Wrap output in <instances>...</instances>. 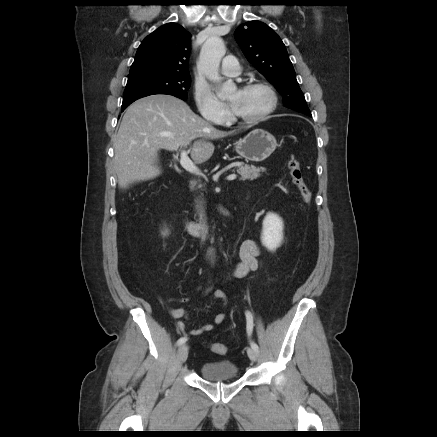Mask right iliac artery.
<instances>
[{
  "label": "right iliac artery",
  "instance_id": "82829eb1",
  "mask_svg": "<svg viewBox=\"0 0 437 437\" xmlns=\"http://www.w3.org/2000/svg\"><path fill=\"white\" fill-rule=\"evenodd\" d=\"M187 341L186 337H181L178 341H177V345H183L185 342Z\"/></svg>",
  "mask_w": 437,
  "mask_h": 437
}]
</instances>
